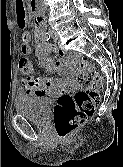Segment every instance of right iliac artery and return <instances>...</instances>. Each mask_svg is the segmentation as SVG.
Listing matches in <instances>:
<instances>
[{"mask_svg":"<svg viewBox=\"0 0 123 167\" xmlns=\"http://www.w3.org/2000/svg\"><path fill=\"white\" fill-rule=\"evenodd\" d=\"M42 39L44 41H48L50 39V34L48 32H45L42 34Z\"/></svg>","mask_w":123,"mask_h":167,"instance_id":"obj_1","label":"right iliac artery"}]
</instances>
